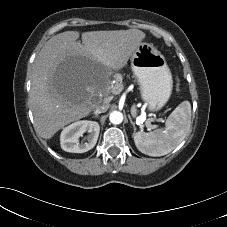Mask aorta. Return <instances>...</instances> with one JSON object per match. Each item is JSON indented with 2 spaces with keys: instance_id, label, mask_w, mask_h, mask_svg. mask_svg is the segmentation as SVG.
Here are the masks:
<instances>
[{
  "instance_id": "762f6f07",
  "label": "aorta",
  "mask_w": 227,
  "mask_h": 227,
  "mask_svg": "<svg viewBox=\"0 0 227 227\" xmlns=\"http://www.w3.org/2000/svg\"><path fill=\"white\" fill-rule=\"evenodd\" d=\"M109 120L112 124H120L123 121V114L120 111H113L110 113Z\"/></svg>"
}]
</instances>
